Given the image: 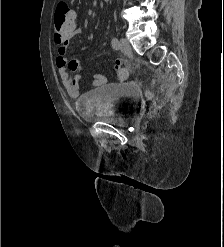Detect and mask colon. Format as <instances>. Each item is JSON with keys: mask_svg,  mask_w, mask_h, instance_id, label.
<instances>
[{"mask_svg": "<svg viewBox=\"0 0 224 247\" xmlns=\"http://www.w3.org/2000/svg\"><path fill=\"white\" fill-rule=\"evenodd\" d=\"M75 14L66 1H60L55 9L54 31L59 36L72 38L74 35ZM69 66L72 70L78 69V62L71 60ZM117 78L125 81L128 78V71L123 67L116 66ZM151 96V93H148Z\"/></svg>", "mask_w": 224, "mask_h": 247, "instance_id": "1", "label": "colon"}]
</instances>
